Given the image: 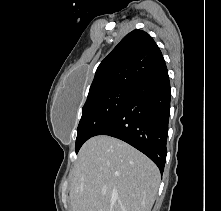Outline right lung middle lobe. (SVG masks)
Instances as JSON below:
<instances>
[{
  "label": "right lung middle lobe",
  "mask_w": 221,
  "mask_h": 211,
  "mask_svg": "<svg viewBox=\"0 0 221 211\" xmlns=\"http://www.w3.org/2000/svg\"><path fill=\"white\" fill-rule=\"evenodd\" d=\"M132 90V88H117L87 99L77 128L76 153L85 141L95 136L97 131L116 115Z\"/></svg>",
  "instance_id": "dd1d6c3e"
}]
</instances>
